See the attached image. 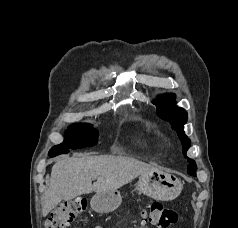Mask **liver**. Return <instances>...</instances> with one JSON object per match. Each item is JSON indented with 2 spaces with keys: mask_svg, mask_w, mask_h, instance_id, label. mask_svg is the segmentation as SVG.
<instances>
[{
  "mask_svg": "<svg viewBox=\"0 0 238 228\" xmlns=\"http://www.w3.org/2000/svg\"><path fill=\"white\" fill-rule=\"evenodd\" d=\"M157 170L156 167L131 157H66L52 167L49 188L42 200V215L46 217L62 200H71L93 191L117 190L136 177ZM93 180L95 182L92 184Z\"/></svg>",
  "mask_w": 238,
  "mask_h": 228,
  "instance_id": "1",
  "label": "liver"
}]
</instances>
